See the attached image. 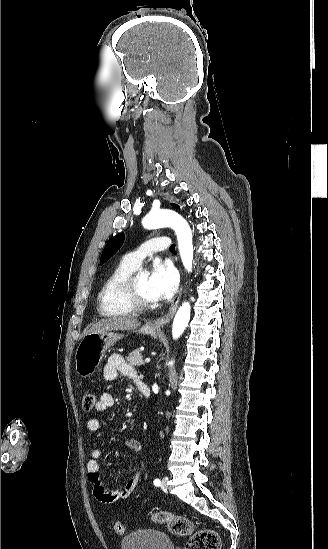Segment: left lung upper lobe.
<instances>
[{
	"label": "left lung upper lobe",
	"mask_w": 328,
	"mask_h": 549,
	"mask_svg": "<svg viewBox=\"0 0 328 549\" xmlns=\"http://www.w3.org/2000/svg\"><path fill=\"white\" fill-rule=\"evenodd\" d=\"M172 207L176 208V209H179L180 206L172 203L171 204ZM123 241H124V236L123 234H118L116 236H114L108 243L107 245L105 246L103 252H102V255H101V260H100V263L103 264L105 263L107 260H109L117 251L118 249L121 247V245L123 244Z\"/></svg>",
	"instance_id": "left-lung-upper-lobe-1"
}]
</instances>
